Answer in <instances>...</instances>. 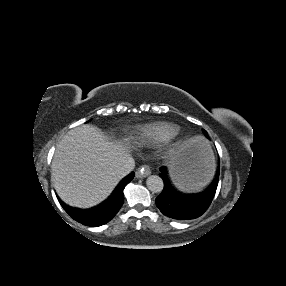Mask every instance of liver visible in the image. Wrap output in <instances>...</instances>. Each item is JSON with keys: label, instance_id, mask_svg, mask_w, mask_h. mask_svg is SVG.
<instances>
[{"label": "liver", "instance_id": "liver-1", "mask_svg": "<svg viewBox=\"0 0 286 286\" xmlns=\"http://www.w3.org/2000/svg\"><path fill=\"white\" fill-rule=\"evenodd\" d=\"M128 153L124 143L108 141L90 125L70 130L57 144L51 164L58 196L65 203L80 208L101 202L119 181L115 166L128 157Z\"/></svg>", "mask_w": 286, "mask_h": 286}]
</instances>
